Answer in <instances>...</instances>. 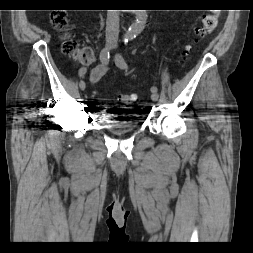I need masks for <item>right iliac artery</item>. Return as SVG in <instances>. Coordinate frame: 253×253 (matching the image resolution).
Here are the masks:
<instances>
[{"instance_id": "right-iliac-artery-1", "label": "right iliac artery", "mask_w": 253, "mask_h": 253, "mask_svg": "<svg viewBox=\"0 0 253 253\" xmlns=\"http://www.w3.org/2000/svg\"><path fill=\"white\" fill-rule=\"evenodd\" d=\"M109 58H110V47H105L101 50L100 61L102 64L107 65L109 62ZM86 74H87V68L81 67L80 70L78 71V77L83 78L84 75Z\"/></svg>"}]
</instances>
